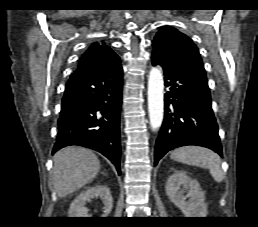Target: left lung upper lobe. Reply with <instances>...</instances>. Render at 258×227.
Here are the masks:
<instances>
[{
	"label": "left lung upper lobe",
	"mask_w": 258,
	"mask_h": 227,
	"mask_svg": "<svg viewBox=\"0 0 258 227\" xmlns=\"http://www.w3.org/2000/svg\"><path fill=\"white\" fill-rule=\"evenodd\" d=\"M154 51L205 75L198 48L185 34L170 26H162L153 40Z\"/></svg>",
	"instance_id": "5c2ea615"
}]
</instances>
